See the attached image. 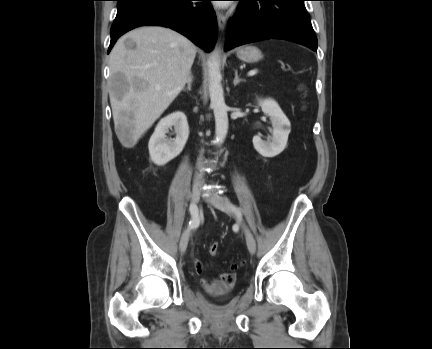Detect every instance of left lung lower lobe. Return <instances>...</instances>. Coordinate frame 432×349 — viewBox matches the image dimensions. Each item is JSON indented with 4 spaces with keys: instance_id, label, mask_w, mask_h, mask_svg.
<instances>
[{
    "instance_id": "1",
    "label": "left lung lower lobe",
    "mask_w": 432,
    "mask_h": 349,
    "mask_svg": "<svg viewBox=\"0 0 432 349\" xmlns=\"http://www.w3.org/2000/svg\"><path fill=\"white\" fill-rule=\"evenodd\" d=\"M240 11L227 26L225 50L266 39H282L317 50L303 1L237 0Z\"/></svg>"
}]
</instances>
